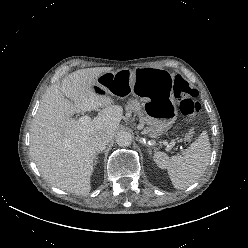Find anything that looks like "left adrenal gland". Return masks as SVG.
I'll use <instances>...</instances> for the list:
<instances>
[{
	"label": "left adrenal gland",
	"instance_id": "a2214340",
	"mask_svg": "<svg viewBox=\"0 0 248 248\" xmlns=\"http://www.w3.org/2000/svg\"><path fill=\"white\" fill-rule=\"evenodd\" d=\"M149 153L151 154V153H152V151H151V150H149Z\"/></svg>",
	"mask_w": 248,
	"mask_h": 248
}]
</instances>
